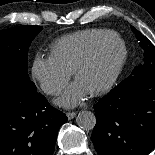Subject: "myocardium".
<instances>
[{"label": "myocardium", "instance_id": "obj_1", "mask_svg": "<svg viewBox=\"0 0 155 155\" xmlns=\"http://www.w3.org/2000/svg\"><path fill=\"white\" fill-rule=\"evenodd\" d=\"M119 42L122 45L123 48V54L122 57L112 75V77L109 79L108 82H106L103 86H101L100 88L89 92L90 95L92 96H98V95H102L104 93H107L108 91H110L113 86L115 85V83L117 82V80L119 79L125 65L126 62L128 60V55H129V50H128V46L126 44V42L124 41V39L118 35L117 33H115L114 35L107 37L105 39H103L102 41H100L94 48L93 50L76 66V68L73 71V76L75 81L78 80L80 74L86 69L88 68L99 56V54L101 53V51L110 43L112 42Z\"/></svg>", "mask_w": 155, "mask_h": 155}]
</instances>
